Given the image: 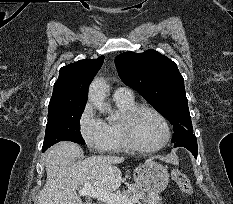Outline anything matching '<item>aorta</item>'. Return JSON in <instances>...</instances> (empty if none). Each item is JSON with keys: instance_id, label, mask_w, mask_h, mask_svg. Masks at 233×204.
Here are the masks:
<instances>
[{"instance_id": "762f6f07", "label": "aorta", "mask_w": 233, "mask_h": 204, "mask_svg": "<svg viewBox=\"0 0 233 204\" xmlns=\"http://www.w3.org/2000/svg\"><path fill=\"white\" fill-rule=\"evenodd\" d=\"M109 86L103 78H96L89 87L88 99L100 112L112 113L111 105L106 102Z\"/></svg>"}]
</instances>
